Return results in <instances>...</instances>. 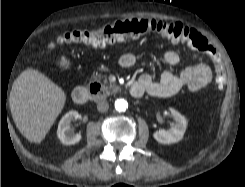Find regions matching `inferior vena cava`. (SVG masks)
Listing matches in <instances>:
<instances>
[{
    "label": "inferior vena cava",
    "mask_w": 245,
    "mask_h": 187,
    "mask_svg": "<svg viewBox=\"0 0 245 187\" xmlns=\"http://www.w3.org/2000/svg\"><path fill=\"white\" fill-rule=\"evenodd\" d=\"M97 109L99 112L104 113L108 111L109 109V104L106 100H102L97 104Z\"/></svg>",
    "instance_id": "1"
}]
</instances>
